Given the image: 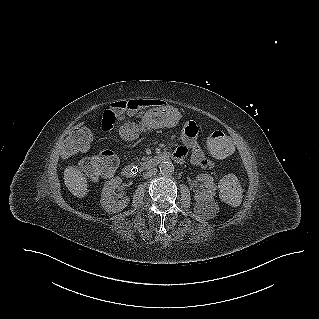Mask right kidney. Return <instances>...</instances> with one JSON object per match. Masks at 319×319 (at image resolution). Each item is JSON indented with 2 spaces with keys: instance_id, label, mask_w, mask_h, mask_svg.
<instances>
[{
  "instance_id": "obj_1",
  "label": "right kidney",
  "mask_w": 319,
  "mask_h": 319,
  "mask_svg": "<svg viewBox=\"0 0 319 319\" xmlns=\"http://www.w3.org/2000/svg\"><path fill=\"white\" fill-rule=\"evenodd\" d=\"M122 183L120 177L112 178L104 184L101 194V205L108 213H118L122 211L130 202L128 197H124L121 200L114 198V192L119 188Z\"/></svg>"
}]
</instances>
